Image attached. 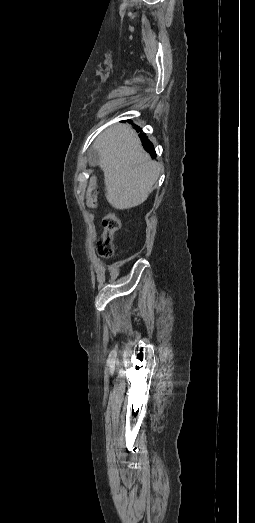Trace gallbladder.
Masks as SVG:
<instances>
[{
	"mask_svg": "<svg viewBox=\"0 0 255 523\" xmlns=\"http://www.w3.org/2000/svg\"><path fill=\"white\" fill-rule=\"evenodd\" d=\"M88 158H89L90 166H99L100 156H99V152H98V150H96V148H90Z\"/></svg>",
	"mask_w": 255,
	"mask_h": 523,
	"instance_id": "bac80fb5",
	"label": "gallbladder"
}]
</instances>
